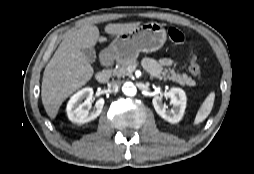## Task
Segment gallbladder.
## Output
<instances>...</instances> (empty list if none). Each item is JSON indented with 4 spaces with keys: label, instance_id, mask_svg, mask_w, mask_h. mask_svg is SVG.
Returning <instances> with one entry per match:
<instances>
[{
    "label": "gallbladder",
    "instance_id": "1",
    "mask_svg": "<svg viewBox=\"0 0 254 174\" xmlns=\"http://www.w3.org/2000/svg\"><path fill=\"white\" fill-rule=\"evenodd\" d=\"M82 52L89 62L93 63L96 61V52L93 48L91 47L84 48L82 49Z\"/></svg>",
    "mask_w": 254,
    "mask_h": 174
}]
</instances>
